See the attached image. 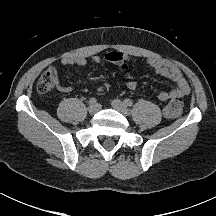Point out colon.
<instances>
[{
	"instance_id": "obj_1",
	"label": "colon",
	"mask_w": 216,
	"mask_h": 216,
	"mask_svg": "<svg viewBox=\"0 0 216 216\" xmlns=\"http://www.w3.org/2000/svg\"><path fill=\"white\" fill-rule=\"evenodd\" d=\"M58 82L57 71L48 69L39 78L37 82V90L41 93H46L54 89ZM183 102L179 98L172 99L165 107V115L168 118H175L182 112Z\"/></svg>"
}]
</instances>
